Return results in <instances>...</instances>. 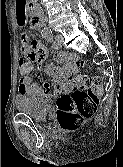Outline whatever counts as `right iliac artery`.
<instances>
[{
	"mask_svg": "<svg viewBox=\"0 0 123 167\" xmlns=\"http://www.w3.org/2000/svg\"><path fill=\"white\" fill-rule=\"evenodd\" d=\"M47 32H48V29H45V30L43 31L42 35H43V34H46Z\"/></svg>",
	"mask_w": 123,
	"mask_h": 167,
	"instance_id": "obj_1",
	"label": "right iliac artery"
}]
</instances>
